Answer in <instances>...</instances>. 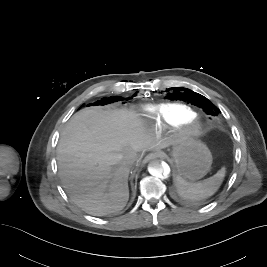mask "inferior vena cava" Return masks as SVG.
Returning <instances> with one entry per match:
<instances>
[{"label": "inferior vena cava", "instance_id": "602c4592", "mask_svg": "<svg viewBox=\"0 0 267 267\" xmlns=\"http://www.w3.org/2000/svg\"><path fill=\"white\" fill-rule=\"evenodd\" d=\"M136 161H137V158H136V156L133 155V154H129V155H126V156L124 157V163H125L126 166H128V167H132V166L135 164Z\"/></svg>", "mask_w": 267, "mask_h": 267}]
</instances>
